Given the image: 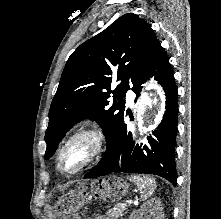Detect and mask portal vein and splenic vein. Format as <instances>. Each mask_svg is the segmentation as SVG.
I'll return each instance as SVG.
<instances>
[{
	"mask_svg": "<svg viewBox=\"0 0 221 219\" xmlns=\"http://www.w3.org/2000/svg\"><path fill=\"white\" fill-rule=\"evenodd\" d=\"M127 203H128V204H132L133 201L130 200V201H128ZM120 205H121V206H124V207L126 206V204H123V203H120Z\"/></svg>",
	"mask_w": 221,
	"mask_h": 219,
	"instance_id": "18ae733b",
	"label": "portal vein and splenic vein"
}]
</instances>
